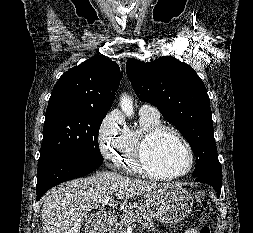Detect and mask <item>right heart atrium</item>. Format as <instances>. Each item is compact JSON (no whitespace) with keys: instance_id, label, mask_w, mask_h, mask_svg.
Returning <instances> with one entry per match:
<instances>
[{"instance_id":"1","label":"right heart atrium","mask_w":253,"mask_h":233,"mask_svg":"<svg viewBox=\"0 0 253 233\" xmlns=\"http://www.w3.org/2000/svg\"><path fill=\"white\" fill-rule=\"evenodd\" d=\"M126 126L117 110L109 112L97 132L98 148L106 160H114L126 133Z\"/></svg>"}]
</instances>
